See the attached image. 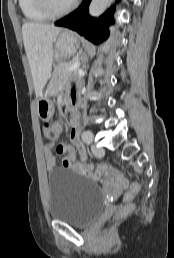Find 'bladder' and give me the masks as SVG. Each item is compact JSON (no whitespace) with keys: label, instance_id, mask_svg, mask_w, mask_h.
Masks as SVG:
<instances>
[{"label":"bladder","instance_id":"bladder-1","mask_svg":"<svg viewBox=\"0 0 174 258\" xmlns=\"http://www.w3.org/2000/svg\"><path fill=\"white\" fill-rule=\"evenodd\" d=\"M48 191L49 216L74 226L89 225L105 208L101 188L68 169L49 172Z\"/></svg>","mask_w":174,"mask_h":258}]
</instances>
